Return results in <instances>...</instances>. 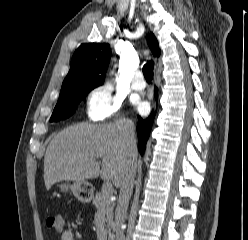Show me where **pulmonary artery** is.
I'll list each match as a JSON object with an SVG mask.
<instances>
[{
  "label": "pulmonary artery",
  "instance_id": "1",
  "mask_svg": "<svg viewBox=\"0 0 248 240\" xmlns=\"http://www.w3.org/2000/svg\"><path fill=\"white\" fill-rule=\"evenodd\" d=\"M145 87V80L141 71H136L132 79V88L135 90H143Z\"/></svg>",
  "mask_w": 248,
  "mask_h": 240
}]
</instances>
